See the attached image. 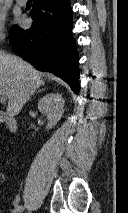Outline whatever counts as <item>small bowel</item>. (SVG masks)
Here are the masks:
<instances>
[{"mask_svg": "<svg viewBox=\"0 0 128 213\" xmlns=\"http://www.w3.org/2000/svg\"><path fill=\"white\" fill-rule=\"evenodd\" d=\"M3 180H4V175L0 174V181H3ZM22 212H23V206L20 204L19 197L16 196L12 202L10 213H22Z\"/></svg>", "mask_w": 128, "mask_h": 213, "instance_id": "1", "label": "small bowel"}]
</instances>
